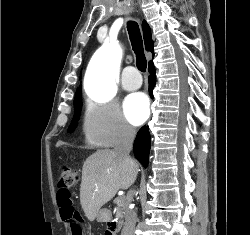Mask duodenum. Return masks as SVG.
I'll list each match as a JSON object with an SVG mask.
<instances>
[{"label":"duodenum","instance_id":"410a0bca","mask_svg":"<svg viewBox=\"0 0 250 235\" xmlns=\"http://www.w3.org/2000/svg\"><path fill=\"white\" fill-rule=\"evenodd\" d=\"M108 227H109V235H117V227H116V223L114 221H110L108 223Z\"/></svg>","mask_w":250,"mask_h":235}]
</instances>
